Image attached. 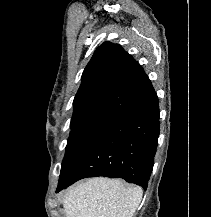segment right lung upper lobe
Listing matches in <instances>:
<instances>
[{
    "label": "right lung upper lobe",
    "instance_id": "cb5924a9",
    "mask_svg": "<svg viewBox=\"0 0 211 217\" xmlns=\"http://www.w3.org/2000/svg\"><path fill=\"white\" fill-rule=\"evenodd\" d=\"M153 89L143 68L120 45L104 42L84 69L71 120L118 116Z\"/></svg>",
    "mask_w": 211,
    "mask_h": 217
}]
</instances>
